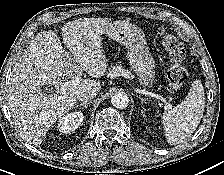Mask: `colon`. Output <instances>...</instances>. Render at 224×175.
I'll return each mask as SVG.
<instances>
[{
    "label": "colon",
    "mask_w": 224,
    "mask_h": 175,
    "mask_svg": "<svg viewBox=\"0 0 224 175\" xmlns=\"http://www.w3.org/2000/svg\"><path fill=\"white\" fill-rule=\"evenodd\" d=\"M159 33L164 37V47L170 60V66L166 73L168 88L175 92L183 86L187 77L183 67L186 52L183 44L175 36L166 33L164 29H160Z\"/></svg>",
    "instance_id": "5ec220e1"
}]
</instances>
